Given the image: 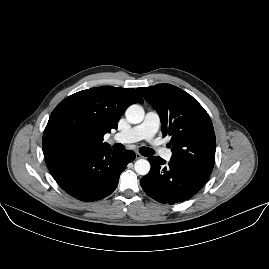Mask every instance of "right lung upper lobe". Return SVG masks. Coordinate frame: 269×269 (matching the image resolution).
Instances as JSON below:
<instances>
[{
    "instance_id": "1",
    "label": "right lung upper lobe",
    "mask_w": 269,
    "mask_h": 269,
    "mask_svg": "<svg viewBox=\"0 0 269 269\" xmlns=\"http://www.w3.org/2000/svg\"><path fill=\"white\" fill-rule=\"evenodd\" d=\"M143 103L134 88L96 87L77 92L61 101L50 115L43 134V154H60L87 146L110 147L103 137L127 107Z\"/></svg>"
}]
</instances>
